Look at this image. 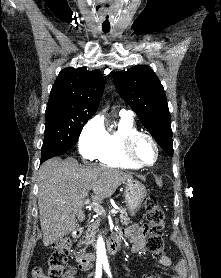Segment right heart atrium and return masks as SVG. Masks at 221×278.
I'll list each match as a JSON object with an SVG mask.
<instances>
[{"instance_id":"obj_1","label":"right heart atrium","mask_w":221,"mask_h":278,"mask_svg":"<svg viewBox=\"0 0 221 278\" xmlns=\"http://www.w3.org/2000/svg\"><path fill=\"white\" fill-rule=\"evenodd\" d=\"M105 132L103 121L99 116L93 117L84 125L78 140L79 152L84 159L90 161L96 159L102 147Z\"/></svg>"}]
</instances>
